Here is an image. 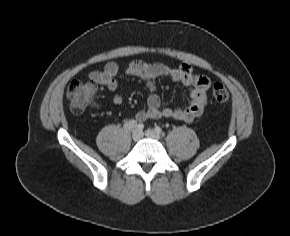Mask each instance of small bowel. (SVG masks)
<instances>
[{
    "instance_id": "small-bowel-1",
    "label": "small bowel",
    "mask_w": 290,
    "mask_h": 236,
    "mask_svg": "<svg viewBox=\"0 0 290 236\" xmlns=\"http://www.w3.org/2000/svg\"><path fill=\"white\" fill-rule=\"evenodd\" d=\"M119 65L115 62L107 63L100 70H93L88 78L97 85L105 86L113 93L112 102L120 105L123 102L122 96L118 93ZM129 75L140 78L146 84L149 95L147 108L136 113L138 122L148 119L169 118L179 122H192L200 117L207 105V92L210 88L209 79L194 71L189 65L183 64L178 67H171L162 63H149L142 60H134L126 67ZM168 77L172 81L182 84L190 89L191 101L185 108H163L161 99L156 91V79ZM95 107H100L99 102H94Z\"/></svg>"
}]
</instances>
